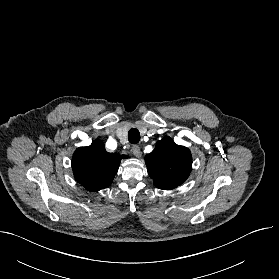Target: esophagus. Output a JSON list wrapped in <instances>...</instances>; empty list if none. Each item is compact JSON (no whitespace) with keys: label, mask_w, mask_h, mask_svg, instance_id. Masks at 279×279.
Returning <instances> with one entry per match:
<instances>
[{"label":"esophagus","mask_w":279,"mask_h":279,"mask_svg":"<svg viewBox=\"0 0 279 279\" xmlns=\"http://www.w3.org/2000/svg\"><path fill=\"white\" fill-rule=\"evenodd\" d=\"M131 151L137 158L142 155L141 148L138 145H133Z\"/></svg>","instance_id":"esophagus-1"}]
</instances>
